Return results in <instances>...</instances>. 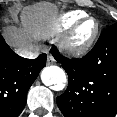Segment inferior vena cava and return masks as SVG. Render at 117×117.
Returning a JSON list of instances; mask_svg holds the SVG:
<instances>
[{
  "mask_svg": "<svg viewBox=\"0 0 117 117\" xmlns=\"http://www.w3.org/2000/svg\"><path fill=\"white\" fill-rule=\"evenodd\" d=\"M17 54L24 58L33 59L39 55V47H21L17 50Z\"/></svg>",
  "mask_w": 117,
  "mask_h": 117,
  "instance_id": "602c4592",
  "label": "inferior vena cava"
}]
</instances>
